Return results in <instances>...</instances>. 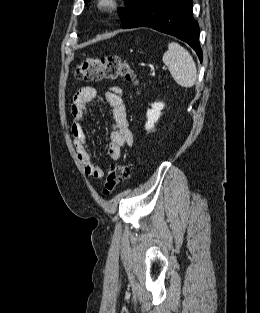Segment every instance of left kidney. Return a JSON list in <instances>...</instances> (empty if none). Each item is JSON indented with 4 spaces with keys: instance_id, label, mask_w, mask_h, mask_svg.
Returning a JSON list of instances; mask_svg holds the SVG:
<instances>
[{
    "instance_id": "left-kidney-1",
    "label": "left kidney",
    "mask_w": 260,
    "mask_h": 313,
    "mask_svg": "<svg viewBox=\"0 0 260 313\" xmlns=\"http://www.w3.org/2000/svg\"><path fill=\"white\" fill-rule=\"evenodd\" d=\"M163 103H153L152 108L147 111V122L145 129L150 131L154 128V124L158 121L161 116V110L164 108Z\"/></svg>"
}]
</instances>
